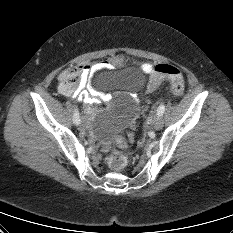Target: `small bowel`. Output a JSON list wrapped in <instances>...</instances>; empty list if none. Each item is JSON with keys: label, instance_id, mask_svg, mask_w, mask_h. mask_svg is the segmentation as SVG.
Segmentation results:
<instances>
[{"label": "small bowel", "instance_id": "1", "mask_svg": "<svg viewBox=\"0 0 233 233\" xmlns=\"http://www.w3.org/2000/svg\"><path fill=\"white\" fill-rule=\"evenodd\" d=\"M120 63L119 58H113L107 61H100L92 64H87L80 69V82L78 87L71 93H63L66 96H71L85 104V113L87 116L93 114V105L96 103L106 102L110 99L109 95L100 94L91 84L92 76L98 70L104 68H112ZM142 70L147 74L154 72L153 65L144 63L141 65Z\"/></svg>", "mask_w": 233, "mask_h": 233}]
</instances>
